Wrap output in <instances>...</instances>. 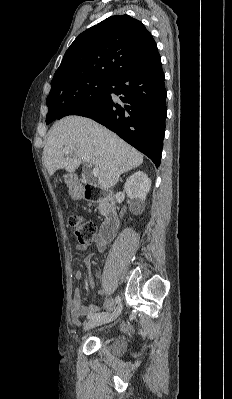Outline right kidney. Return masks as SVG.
Here are the masks:
<instances>
[{"instance_id":"obj_1","label":"right kidney","mask_w":232,"mask_h":399,"mask_svg":"<svg viewBox=\"0 0 232 399\" xmlns=\"http://www.w3.org/2000/svg\"><path fill=\"white\" fill-rule=\"evenodd\" d=\"M151 188V180L145 172H135L125 182L124 192L130 198L132 205L137 209H144L146 196Z\"/></svg>"}]
</instances>
